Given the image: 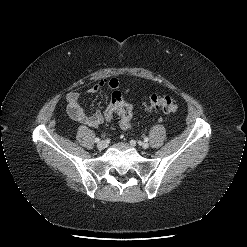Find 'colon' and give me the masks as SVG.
<instances>
[{
    "instance_id": "obj_1",
    "label": "colon",
    "mask_w": 247,
    "mask_h": 247,
    "mask_svg": "<svg viewBox=\"0 0 247 247\" xmlns=\"http://www.w3.org/2000/svg\"><path fill=\"white\" fill-rule=\"evenodd\" d=\"M149 109L174 113L178 110V104L170 96L153 94L150 97ZM114 114H117L120 118V127L124 130L129 129L132 118V107L124 101L120 91H114L112 93L110 103L104 112L106 122H109Z\"/></svg>"
}]
</instances>
